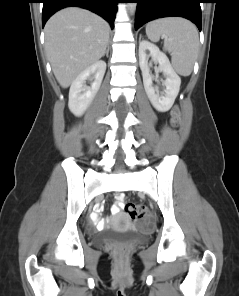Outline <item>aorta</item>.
Listing matches in <instances>:
<instances>
[{
	"mask_svg": "<svg viewBox=\"0 0 239 296\" xmlns=\"http://www.w3.org/2000/svg\"><path fill=\"white\" fill-rule=\"evenodd\" d=\"M129 11L132 13L136 9V3H128Z\"/></svg>",
	"mask_w": 239,
	"mask_h": 296,
	"instance_id": "obj_1",
	"label": "aorta"
}]
</instances>
